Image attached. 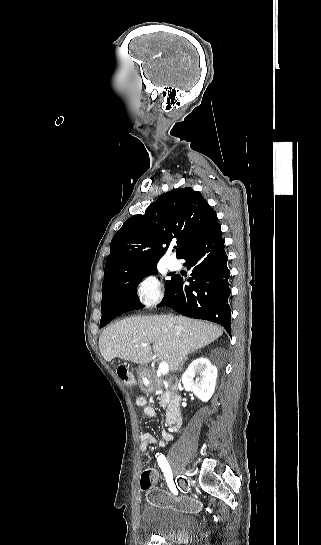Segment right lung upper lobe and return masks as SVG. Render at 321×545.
<instances>
[{"label":"right lung upper lobe","mask_w":321,"mask_h":545,"mask_svg":"<svg viewBox=\"0 0 321 545\" xmlns=\"http://www.w3.org/2000/svg\"><path fill=\"white\" fill-rule=\"evenodd\" d=\"M218 226L216 212L199 192L186 187L162 194L143 215L129 218L115 233L102 290L118 286L128 275L155 267L176 240V257L183 259Z\"/></svg>","instance_id":"right-lung-upper-lobe-1"}]
</instances>
